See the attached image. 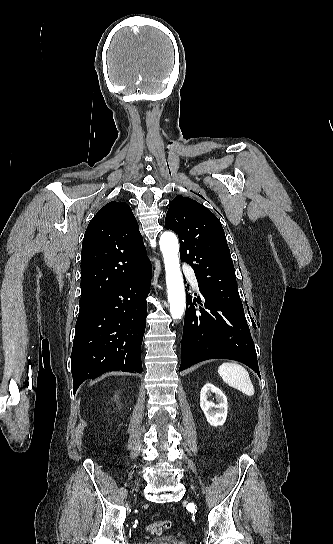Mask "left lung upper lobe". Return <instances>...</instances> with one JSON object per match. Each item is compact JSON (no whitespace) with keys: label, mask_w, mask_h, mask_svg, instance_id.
<instances>
[{"label":"left lung upper lobe","mask_w":333,"mask_h":544,"mask_svg":"<svg viewBox=\"0 0 333 544\" xmlns=\"http://www.w3.org/2000/svg\"><path fill=\"white\" fill-rule=\"evenodd\" d=\"M165 227L178 234L181 261L194 269L199 286L215 299L244 313L219 219L195 200L178 195L170 203Z\"/></svg>","instance_id":"5c2ea615"}]
</instances>
